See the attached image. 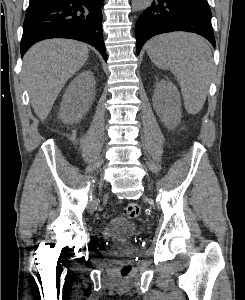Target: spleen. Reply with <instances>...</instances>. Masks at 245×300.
<instances>
[{"instance_id": "spleen-1", "label": "spleen", "mask_w": 245, "mask_h": 300, "mask_svg": "<svg viewBox=\"0 0 245 300\" xmlns=\"http://www.w3.org/2000/svg\"><path fill=\"white\" fill-rule=\"evenodd\" d=\"M151 61L177 78L188 113H198L206 100L212 71L211 51L201 37L182 32L159 35L147 43Z\"/></svg>"}]
</instances>
